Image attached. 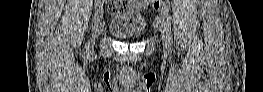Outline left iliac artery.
Instances as JSON below:
<instances>
[{"instance_id": "44dca946", "label": "left iliac artery", "mask_w": 263, "mask_h": 92, "mask_svg": "<svg viewBox=\"0 0 263 92\" xmlns=\"http://www.w3.org/2000/svg\"><path fill=\"white\" fill-rule=\"evenodd\" d=\"M161 12H162V20L166 21L165 25H166V29L168 32V40H169V44L170 46H172L173 44V40H172V35H171V28H170V16L167 15V11H164L163 6H160Z\"/></svg>"}]
</instances>
